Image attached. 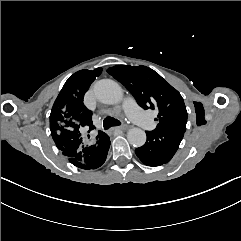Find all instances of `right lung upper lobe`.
Wrapping results in <instances>:
<instances>
[{"instance_id":"cb5924a9","label":"right lung upper lobe","mask_w":241,"mask_h":241,"mask_svg":"<svg viewBox=\"0 0 241 241\" xmlns=\"http://www.w3.org/2000/svg\"><path fill=\"white\" fill-rule=\"evenodd\" d=\"M102 72V68L93 71L81 70L74 73L64 84L56 98L50 114V130L52 138L67 158L76 157L85 146L102 139L106 134L99 131L90 138L95 126L92 112L83 104V98L90 84ZM88 136V138H87Z\"/></svg>"}]
</instances>
